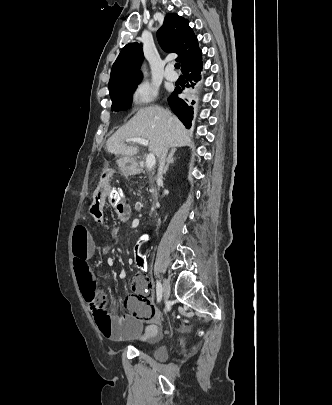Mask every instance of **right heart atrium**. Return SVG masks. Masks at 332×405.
Returning <instances> with one entry per match:
<instances>
[{
    "label": "right heart atrium",
    "mask_w": 332,
    "mask_h": 405,
    "mask_svg": "<svg viewBox=\"0 0 332 405\" xmlns=\"http://www.w3.org/2000/svg\"><path fill=\"white\" fill-rule=\"evenodd\" d=\"M130 99L136 107L147 106L158 99V90L153 85L143 82L133 89Z\"/></svg>",
    "instance_id": "d8ad5b80"
}]
</instances>
